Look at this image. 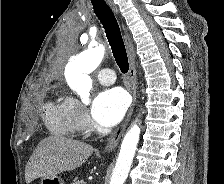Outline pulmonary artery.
<instances>
[{"instance_id":"obj_1","label":"pulmonary artery","mask_w":224,"mask_h":184,"mask_svg":"<svg viewBox=\"0 0 224 184\" xmlns=\"http://www.w3.org/2000/svg\"><path fill=\"white\" fill-rule=\"evenodd\" d=\"M98 81L103 85L113 84L116 80V76L113 70L111 69H101L97 73Z\"/></svg>"}]
</instances>
